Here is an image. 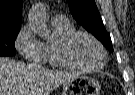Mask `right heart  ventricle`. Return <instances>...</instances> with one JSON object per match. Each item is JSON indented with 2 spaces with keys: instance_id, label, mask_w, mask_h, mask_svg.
Returning <instances> with one entry per match:
<instances>
[{
  "instance_id": "right-heart-ventricle-1",
  "label": "right heart ventricle",
  "mask_w": 135,
  "mask_h": 95,
  "mask_svg": "<svg viewBox=\"0 0 135 95\" xmlns=\"http://www.w3.org/2000/svg\"><path fill=\"white\" fill-rule=\"evenodd\" d=\"M51 27L55 32L56 39L52 42H48L45 45V52H46V60L53 66H63L57 59L55 55V44L56 42L67 35L68 33L72 32L74 28L68 21L64 22H51Z\"/></svg>"
}]
</instances>
